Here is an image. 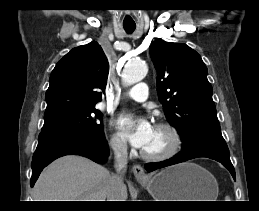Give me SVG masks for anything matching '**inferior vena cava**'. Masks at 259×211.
Masks as SVG:
<instances>
[{
	"instance_id": "inferior-vena-cava-1",
	"label": "inferior vena cava",
	"mask_w": 259,
	"mask_h": 211,
	"mask_svg": "<svg viewBox=\"0 0 259 211\" xmlns=\"http://www.w3.org/2000/svg\"><path fill=\"white\" fill-rule=\"evenodd\" d=\"M115 155V168L117 173L112 175L107 201H122L120 190L124 186L123 176L127 169V145L121 141L112 144Z\"/></svg>"
}]
</instances>
